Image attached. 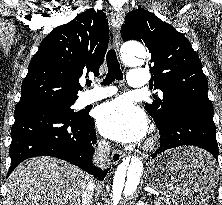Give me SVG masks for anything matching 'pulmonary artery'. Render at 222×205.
<instances>
[{"instance_id": "1", "label": "pulmonary artery", "mask_w": 222, "mask_h": 205, "mask_svg": "<svg viewBox=\"0 0 222 205\" xmlns=\"http://www.w3.org/2000/svg\"><path fill=\"white\" fill-rule=\"evenodd\" d=\"M148 82L147 74L142 69H131L128 76V84L131 87L143 88ZM117 90L113 87H99L87 92L83 98V104L94 103L114 95Z\"/></svg>"}]
</instances>
